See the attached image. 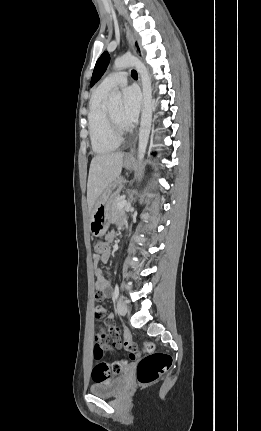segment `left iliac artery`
I'll return each instance as SVG.
<instances>
[{
	"instance_id": "1",
	"label": "left iliac artery",
	"mask_w": 261,
	"mask_h": 431,
	"mask_svg": "<svg viewBox=\"0 0 261 431\" xmlns=\"http://www.w3.org/2000/svg\"><path fill=\"white\" fill-rule=\"evenodd\" d=\"M118 296H119V287L118 285H116L114 290V299L116 300Z\"/></svg>"
}]
</instances>
